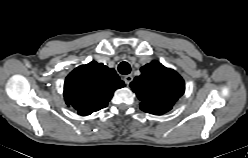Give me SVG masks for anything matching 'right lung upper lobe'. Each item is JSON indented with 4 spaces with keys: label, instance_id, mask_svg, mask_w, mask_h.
Segmentation results:
<instances>
[{
    "label": "right lung upper lobe",
    "instance_id": "1",
    "mask_svg": "<svg viewBox=\"0 0 248 158\" xmlns=\"http://www.w3.org/2000/svg\"><path fill=\"white\" fill-rule=\"evenodd\" d=\"M124 86L114 69L92 61L67 76L64 99L79 115L86 116L106 107L113 92Z\"/></svg>",
    "mask_w": 248,
    "mask_h": 158
}]
</instances>
